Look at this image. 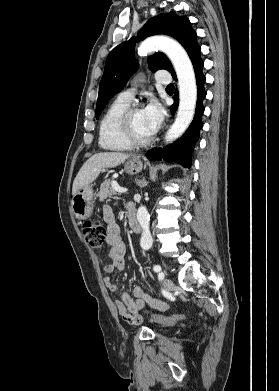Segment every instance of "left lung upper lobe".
<instances>
[{
  "label": "left lung upper lobe",
  "mask_w": 279,
  "mask_h": 391,
  "mask_svg": "<svg viewBox=\"0 0 279 391\" xmlns=\"http://www.w3.org/2000/svg\"><path fill=\"white\" fill-rule=\"evenodd\" d=\"M158 34L174 37L185 48L190 58L200 47L197 43V34L187 17L170 12L151 18L139 31L136 38L133 37L129 41L118 45L108 55L100 81L96 119L100 116L108 101L123 89L131 75L138 69L137 60L133 55L135 42ZM148 63L153 72L165 69L170 71L172 76L175 75L171 62L161 52L150 56Z\"/></svg>",
  "instance_id": "5c2ea615"
}]
</instances>
